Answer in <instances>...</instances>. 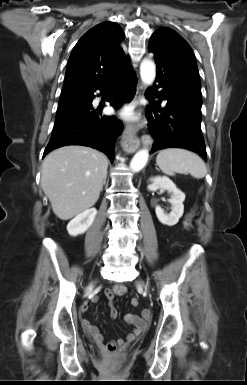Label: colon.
I'll use <instances>...</instances> for the list:
<instances>
[{"label":"colon","instance_id":"1","mask_svg":"<svg viewBox=\"0 0 247 385\" xmlns=\"http://www.w3.org/2000/svg\"><path fill=\"white\" fill-rule=\"evenodd\" d=\"M193 216H194V211H191L186 215L185 220H184L185 228L189 229L191 227ZM131 304H132V306H138L139 301L137 299H132ZM115 348L116 347L112 344H109L107 347V349L109 351H113V350H115Z\"/></svg>","mask_w":247,"mask_h":385}]
</instances>
